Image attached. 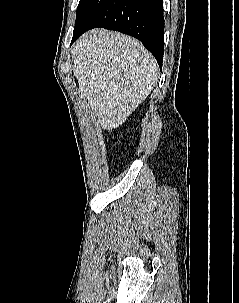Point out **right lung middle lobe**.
<instances>
[{
    "label": "right lung middle lobe",
    "instance_id": "1",
    "mask_svg": "<svg viewBox=\"0 0 239 303\" xmlns=\"http://www.w3.org/2000/svg\"><path fill=\"white\" fill-rule=\"evenodd\" d=\"M106 0H80L77 7L74 33L82 30L89 22L95 12L103 5Z\"/></svg>",
    "mask_w": 239,
    "mask_h": 303
}]
</instances>
